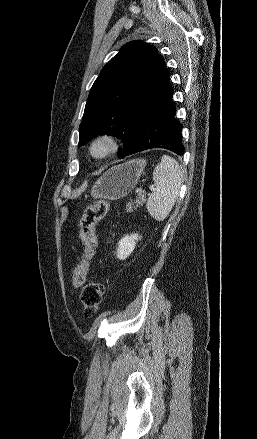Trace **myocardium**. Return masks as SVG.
<instances>
[{
    "label": "myocardium",
    "instance_id": "myocardium-1",
    "mask_svg": "<svg viewBox=\"0 0 257 439\" xmlns=\"http://www.w3.org/2000/svg\"><path fill=\"white\" fill-rule=\"evenodd\" d=\"M119 148L118 137L110 132L96 135L89 143L88 154L96 161H102L112 156Z\"/></svg>",
    "mask_w": 257,
    "mask_h": 439
}]
</instances>
